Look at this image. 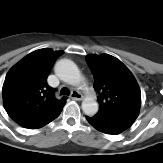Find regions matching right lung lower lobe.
<instances>
[{"instance_id":"1","label":"right lung lower lobe","mask_w":163,"mask_h":163,"mask_svg":"<svg viewBox=\"0 0 163 163\" xmlns=\"http://www.w3.org/2000/svg\"><path fill=\"white\" fill-rule=\"evenodd\" d=\"M61 111L62 109L47 116L23 117L14 121L24 128L37 129L56 119Z\"/></svg>"}]
</instances>
